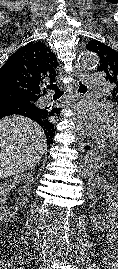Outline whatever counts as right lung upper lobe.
Masks as SVG:
<instances>
[{
    "mask_svg": "<svg viewBox=\"0 0 118 269\" xmlns=\"http://www.w3.org/2000/svg\"><path fill=\"white\" fill-rule=\"evenodd\" d=\"M57 59L42 42L29 43L13 53L0 68V101L14 99L33 105L36 110L31 119L40 124L46 138L54 135L51 117L55 109L39 106V98L45 94L56 77Z\"/></svg>",
    "mask_w": 118,
    "mask_h": 269,
    "instance_id": "cb5924a9",
    "label": "right lung upper lobe"
}]
</instances>
